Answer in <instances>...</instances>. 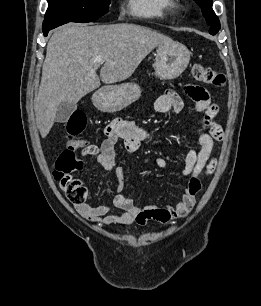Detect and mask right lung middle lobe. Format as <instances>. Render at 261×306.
<instances>
[{"instance_id": "dd1d6c3e", "label": "right lung middle lobe", "mask_w": 261, "mask_h": 306, "mask_svg": "<svg viewBox=\"0 0 261 306\" xmlns=\"http://www.w3.org/2000/svg\"><path fill=\"white\" fill-rule=\"evenodd\" d=\"M111 0H48L44 21L91 22L106 14Z\"/></svg>"}]
</instances>
